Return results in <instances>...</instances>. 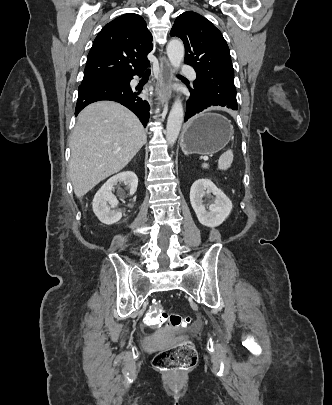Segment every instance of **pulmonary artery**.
Instances as JSON below:
<instances>
[{
  "mask_svg": "<svg viewBox=\"0 0 332 405\" xmlns=\"http://www.w3.org/2000/svg\"><path fill=\"white\" fill-rule=\"evenodd\" d=\"M182 72L187 75L188 77H190L192 80L196 79V73L195 71L189 67V66H183L182 68Z\"/></svg>",
  "mask_w": 332,
  "mask_h": 405,
  "instance_id": "obj_1",
  "label": "pulmonary artery"
}]
</instances>
